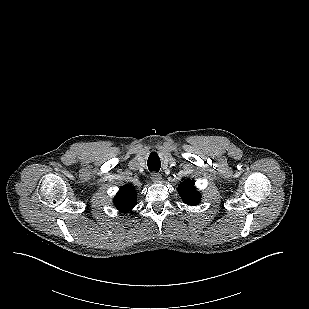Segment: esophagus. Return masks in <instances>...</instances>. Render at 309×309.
Returning a JSON list of instances; mask_svg holds the SVG:
<instances>
[{
	"instance_id": "34e87169",
	"label": "esophagus",
	"mask_w": 309,
	"mask_h": 309,
	"mask_svg": "<svg viewBox=\"0 0 309 309\" xmlns=\"http://www.w3.org/2000/svg\"><path fill=\"white\" fill-rule=\"evenodd\" d=\"M151 179H152L154 182H159V181L162 179V177H161V175H160L159 173L153 172V173L151 174Z\"/></svg>"
}]
</instances>
